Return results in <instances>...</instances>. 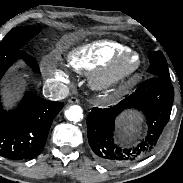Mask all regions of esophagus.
<instances>
[{
	"label": "esophagus",
	"mask_w": 183,
	"mask_h": 183,
	"mask_svg": "<svg viewBox=\"0 0 183 183\" xmlns=\"http://www.w3.org/2000/svg\"><path fill=\"white\" fill-rule=\"evenodd\" d=\"M69 103H79V99L77 97H70L68 100Z\"/></svg>",
	"instance_id": "esophagus-1"
}]
</instances>
